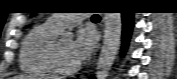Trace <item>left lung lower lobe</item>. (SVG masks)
<instances>
[{"instance_id": "0a47b994", "label": "left lung lower lobe", "mask_w": 177, "mask_h": 79, "mask_svg": "<svg viewBox=\"0 0 177 79\" xmlns=\"http://www.w3.org/2000/svg\"><path fill=\"white\" fill-rule=\"evenodd\" d=\"M122 20H123V51L127 47L132 27H133V13L131 12H123L122 13Z\"/></svg>"}]
</instances>
